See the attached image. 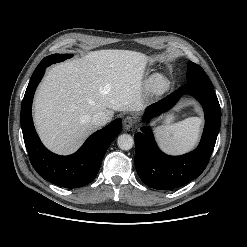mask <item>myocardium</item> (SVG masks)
Segmentation results:
<instances>
[{
    "label": "myocardium",
    "instance_id": "1",
    "mask_svg": "<svg viewBox=\"0 0 247 247\" xmlns=\"http://www.w3.org/2000/svg\"><path fill=\"white\" fill-rule=\"evenodd\" d=\"M170 86L169 80L161 74H156L152 76L148 81V88L153 94H163Z\"/></svg>",
    "mask_w": 247,
    "mask_h": 247
}]
</instances>
